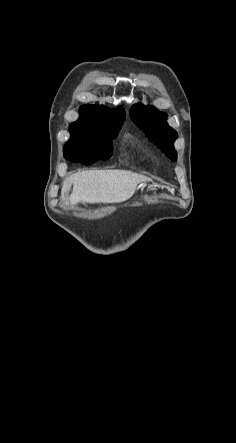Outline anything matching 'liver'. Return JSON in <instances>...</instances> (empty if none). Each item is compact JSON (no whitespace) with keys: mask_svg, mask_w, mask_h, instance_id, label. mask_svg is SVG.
<instances>
[{"mask_svg":"<svg viewBox=\"0 0 236 443\" xmlns=\"http://www.w3.org/2000/svg\"><path fill=\"white\" fill-rule=\"evenodd\" d=\"M151 181L150 178L127 170H88L68 177L61 190H73L67 204L77 203H121L128 200L138 184Z\"/></svg>","mask_w":236,"mask_h":443,"instance_id":"6515ba94","label":"liver"}]
</instances>
